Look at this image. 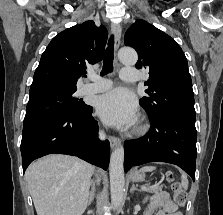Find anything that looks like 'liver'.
I'll list each match as a JSON object with an SVG mask.
<instances>
[{"instance_id": "obj_1", "label": "liver", "mask_w": 223, "mask_h": 215, "mask_svg": "<svg viewBox=\"0 0 223 215\" xmlns=\"http://www.w3.org/2000/svg\"><path fill=\"white\" fill-rule=\"evenodd\" d=\"M93 171L71 155H45L30 163L25 177L38 215H82Z\"/></svg>"}]
</instances>
